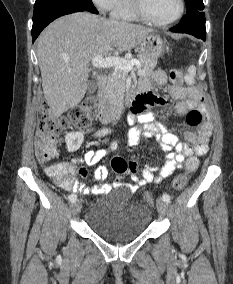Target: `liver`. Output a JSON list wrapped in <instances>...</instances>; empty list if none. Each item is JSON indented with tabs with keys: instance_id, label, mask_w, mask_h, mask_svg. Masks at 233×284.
<instances>
[{
	"instance_id": "obj_1",
	"label": "liver",
	"mask_w": 233,
	"mask_h": 284,
	"mask_svg": "<svg viewBox=\"0 0 233 284\" xmlns=\"http://www.w3.org/2000/svg\"><path fill=\"white\" fill-rule=\"evenodd\" d=\"M153 29L78 12L46 27L37 41L44 97L54 118L76 107L87 91L89 64L97 55L128 51Z\"/></svg>"
}]
</instances>
